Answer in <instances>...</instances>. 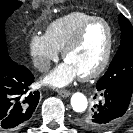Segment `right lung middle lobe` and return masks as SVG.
Segmentation results:
<instances>
[{
    "instance_id": "1",
    "label": "right lung middle lobe",
    "mask_w": 133,
    "mask_h": 133,
    "mask_svg": "<svg viewBox=\"0 0 133 133\" xmlns=\"http://www.w3.org/2000/svg\"><path fill=\"white\" fill-rule=\"evenodd\" d=\"M21 4L22 2L15 0H0V60L9 58L5 40V22Z\"/></svg>"
}]
</instances>
